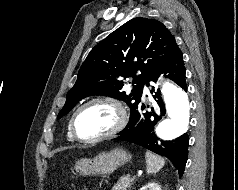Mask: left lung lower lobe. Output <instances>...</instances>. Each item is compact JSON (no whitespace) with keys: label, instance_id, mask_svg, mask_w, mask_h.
I'll use <instances>...</instances> for the list:
<instances>
[{"label":"left lung lower lobe","instance_id":"0a47b994","mask_svg":"<svg viewBox=\"0 0 238 190\" xmlns=\"http://www.w3.org/2000/svg\"><path fill=\"white\" fill-rule=\"evenodd\" d=\"M185 72L183 55L179 50L152 75L147 85L150 81L156 82L158 77L164 74L187 91ZM151 93H155L153 98L157 102V107L155 109L151 107V110L148 111L146 108L150 106L139 102L131 112L127 126L118 133L115 140L134 143L167 157L182 176L188 156V135L185 133L170 141L161 140L156 136L154 126L165 115V107L159 89L155 90V87L152 86Z\"/></svg>","mask_w":238,"mask_h":190}]
</instances>
